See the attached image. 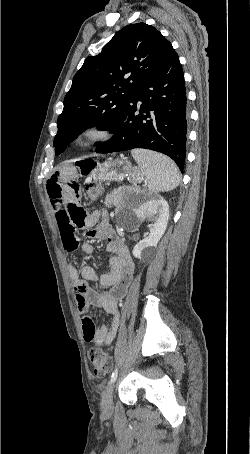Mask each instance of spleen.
I'll return each mask as SVG.
<instances>
[{"instance_id": "obj_1", "label": "spleen", "mask_w": 250, "mask_h": 454, "mask_svg": "<svg viewBox=\"0 0 250 454\" xmlns=\"http://www.w3.org/2000/svg\"><path fill=\"white\" fill-rule=\"evenodd\" d=\"M131 154L147 182L149 191L153 193L166 192L179 185L178 168L169 157L143 149H134Z\"/></svg>"}]
</instances>
